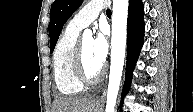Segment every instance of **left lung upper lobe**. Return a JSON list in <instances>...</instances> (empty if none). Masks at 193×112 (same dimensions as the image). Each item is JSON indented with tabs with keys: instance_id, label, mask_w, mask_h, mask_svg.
Here are the masks:
<instances>
[{
	"instance_id": "obj_1",
	"label": "left lung upper lobe",
	"mask_w": 193,
	"mask_h": 112,
	"mask_svg": "<svg viewBox=\"0 0 193 112\" xmlns=\"http://www.w3.org/2000/svg\"><path fill=\"white\" fill-rule=\"evenodd\" d=\"M83 0H55L50 10V53L53 52L63 25L82 4Z\"/></svg>"
}]
</instances>
